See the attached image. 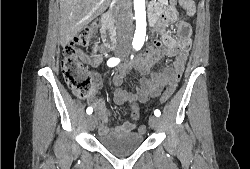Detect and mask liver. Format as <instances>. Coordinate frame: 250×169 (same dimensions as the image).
<instances>
[{
	"mask_svg": "<svg viewBox=\"0 0 250 169\" xmlns=\"http://www.w3.org/2000/svg\"><path fill=\"white\" fill-rule=\"evenodd\" d=\"M111 0H60L61 42L67 44L79 30L106 10Z\"/></svg>",
	"mask_w": 250,
	"mask_h": 169,
	"instance_id": "1",
	"label": "liver"
}]
</instances>
